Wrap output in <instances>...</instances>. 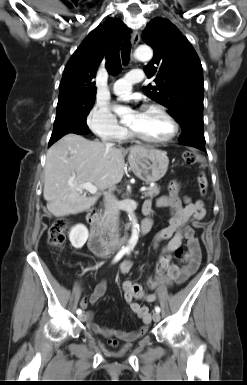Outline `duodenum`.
I'll return each mask as SVG.
<instances>
[{"label":"duodenum","instance_id":"1","mask_svg":"<svg viewBox=\"0 0 247 385\" xmlns=\"http://www.w3.org/2000/svg\"><path fill=\"white\" fill-rule=\"evenodd\" d=\"M87 221L91 227L88 246L97 255L108 256L120 249L129 240L128 236H122L111 242L106 241L102 236L101 225L98 221V213L95 209L87 212ZM152 226L153 221L150 218H146L140 226V234L144 235L148 233Z\"/></svg>","mask_w":247,"mask_h":385}]
</instances>
